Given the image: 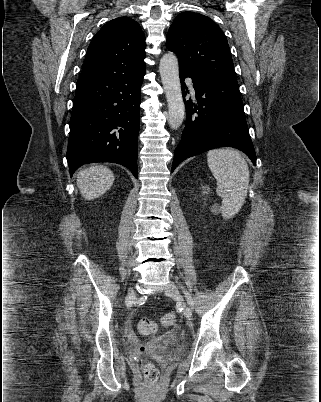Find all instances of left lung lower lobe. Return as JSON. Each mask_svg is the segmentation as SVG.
Returning <instances> with one entry per match:
<instances>
[{
    "label": "left lung lower lobe",
    "mask_w": 321,
    "mask_h": 402,
    "mask_svg": "<svg viewBox=\"0 0 321 402\" xmlns=\"http://www.w3.org/2000/svg\"><path fill=\"white\" fill-rule=\"evenodd\" d=\"M179 72L183 95L184 79H192L197 105L191 100L185 101L186 126L174 152L171 172L183 160L223 146L243 151L255 165L256 154L237 80L193 75L182 69Z\"/></svg>",
    "instance_id": "obj_1"
}]
</instances>
